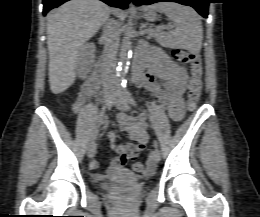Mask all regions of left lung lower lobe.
<instances>
[{
  "label": "left lung lower lobe",
  "mask_w": 260,
  "mask_h": 217,
  "mask_svg": "<svg viewBox=\"0 0 260 217\" xmlns=\"http://www.w3.org/2000/svg\"><path fill=\"white\" fill-rule=\"evenodd\" d=\"M135 5H150L156 2H177L183 5L192 6L197 10V12L204 18L208 16V4L211 3L210 0H131Z\"/></svg>",
  "instance_id": "obj_1"
}]
</instances>
